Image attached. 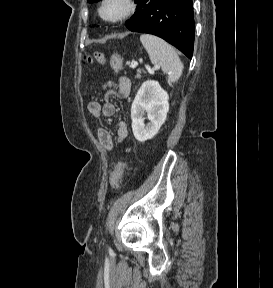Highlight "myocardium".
<instances>
[{
	"instance_id": "1",
	"label": "myocardium",
	"mask_w": 273,
	"mask_h": 288,
	"mask_svg": "<svg viewBox=\"0 0 273 288\" xmlns=\"http://www.w3.org/2000/svg\"><path fill=\"white\" fill-rule=\"evenodd\" d=\"M112 1L113 0H102L99 4L98 15L104 22L107 23L121 22L128 18H131L137 11L138 4L136 0H117L123 5L122 11L114 17H107L104 15L103 10L105 6Z\"/></svg>"
}]
</instances>
